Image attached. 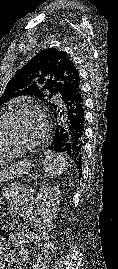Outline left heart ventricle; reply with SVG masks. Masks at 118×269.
<instances>
[{"mask_svg":"<svg viewBox=\"0 0 118 269\" xmlns=\"http://www.w3.org/2000/svg\"><path fill=\"white\" fill-rule=\"evenodd\" d=\"M45 125L36 112H26L15 118L4 132L5 140L34 143L41 138Z\"/></svg>","mask_w":118,"mask_h":269,"instance_id":"1","label":"left heart ventricle"}]
</instances>
